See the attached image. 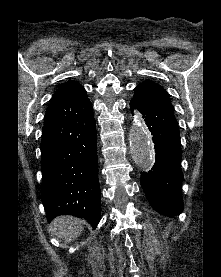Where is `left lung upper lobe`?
<instances>
[{
  "instance_id": "left-lung-upper-lobe-1",
  "label": "left lung upper lobe",
  "mask_w": 221,
  "mask_h": 277,
  "mask_svg": "<svg viewBox=\"0 0 221 277\" xmlns=\"http://www.w3.org/2000/svg\"><path fill=\"white\" fill-rule=\"evenodd\" d=\"M140 86L146 88L149 92L153 93L154 96L163 104L165 105L171 112L174 111L171 102L168 99V94L166 90L161 87L160 85L151 82V81H144Z\"/></svg>"
}]
</instances>
